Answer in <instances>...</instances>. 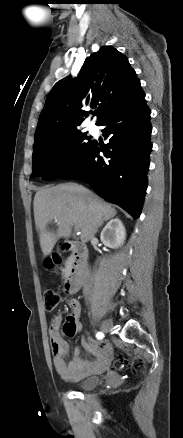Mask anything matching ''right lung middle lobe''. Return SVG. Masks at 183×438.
Masks as SVG:
<instances>
[{
  "label": "right lung middle lobe",
  "instance_id": "right-lung-middle-lobe-1",
  "mask_svg": "<svg viewBox=\"0 0 183 438\" xmlns=\"http://www.w3.org/2000/svg\"><path fill=\"white\" fill-rule=\"evenodd\" d=\"M79 129L44 136L35 140L32 155L33 175L48 180L71 164L93 141Z\"/></svg>",
  "mask_w": 183,
  "mask_h": 438
}]
</instances>
